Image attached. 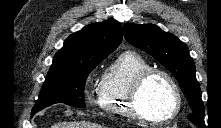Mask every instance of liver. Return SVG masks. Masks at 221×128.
I'll return each instance as SVG.
<instances>
[{
  "label": "liver",
  "mask_w": 221,
  "mask_h": 128,
  "mask_svg": "<svg viewBox=\"0 0 221 128\" xmlns=\"http://www.w3.org/2000/svg\"><path fill=\"white\" fill-rule=\"evenodd\" d=\"M51 128H102L100 125L88 121L56 123Z\"/></svg>",
  "instance_id": "liver-1"
}]
</instances>
